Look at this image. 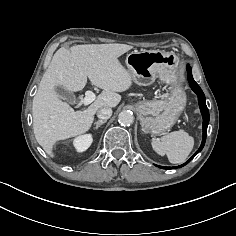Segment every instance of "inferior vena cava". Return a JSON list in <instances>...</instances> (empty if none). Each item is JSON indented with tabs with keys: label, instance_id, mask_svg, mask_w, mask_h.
Segmentation results:
<instances>
[{
	"label": "inferior vena cava",
	"instance_id": "obj_1",
	"mask_svg": "<svg viewBox=\"0 0 236 236\" xmlns=\"http://www.w3.org/2000/svg\"><path fill=\"white\" fill-rule=\"evenodd\" d=\"M112 115V109L110 107H103L97 111V117L100 119H109Z\"/></svg>",
	"mask_w": 236,
	"mask_h": 236
}]
</instances>
